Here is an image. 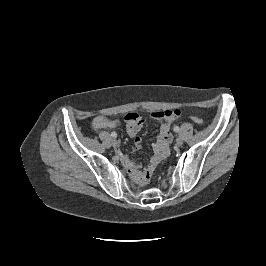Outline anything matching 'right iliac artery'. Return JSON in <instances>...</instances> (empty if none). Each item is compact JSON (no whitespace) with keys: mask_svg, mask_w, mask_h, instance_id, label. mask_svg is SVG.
I'll return each mask as SVG.
<instances>
[{"mask_svg":"<svg viewBox=\"0 0 266 266\" xmlns=\"http://www.w3.org/2000/svg\"><path fill=\"white\" fill-rule=\"evenodd\" d=\"M111 136L115 138V137H117V133L116 132H112Z\"/></svg>","mask_w":266,"mask_h":266,"instance_id":"1","label":"right iliac artery"}]
</instances>
